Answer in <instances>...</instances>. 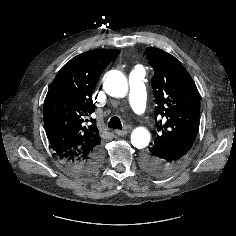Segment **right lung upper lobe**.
<instances>
[{"mask_svg":"<svg viewBox=\"0 0 236 236\" xmlns=\"http://www.w3.org/2000/svg\"><path fill=\"white\" fill-rule=\"evenodd\" d=\"M119 50L96 49L75 56L54 78L44 102V127L63 160L83 161L101 147L92 93L106 66Z\"/></svg>","mask_w":236,"mask_h":236,"instance_id":"obj_1","label":"right lung upper lobe"}]
</instances>
